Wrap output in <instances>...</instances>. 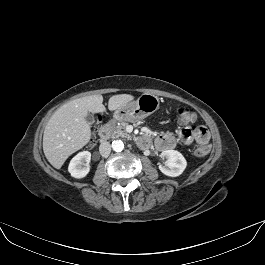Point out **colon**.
<instances>
[{
	"instance_id": "obj_1",
	"label": "colon",
	"mask_w": 265,
	"mask_h": 265,
	"mask_svg": "<svg viewBox=\"0 0 265 265\" xmlns=\"http://www.w3.org/2000/svg\"><path fill=\"white\" fill-rule=\"evenodd\" d=\"M177 116L182 123L189 124L195 121V114L187 107H179L177 109ZM208 152L207 146H200L196 150L197 156H204Z\"/></svg>"
}]
</instances>
